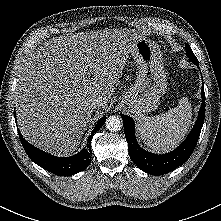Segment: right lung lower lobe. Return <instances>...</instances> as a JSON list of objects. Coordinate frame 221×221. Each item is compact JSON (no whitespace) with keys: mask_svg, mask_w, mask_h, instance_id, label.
I'll return each instance as SVG.
<instances>
[{"mask_svg":"<svg viewBox=\"0 0 221 221\" xmlns=\"http://www.w3.org/2000/svg\"><path fill=\"white\" fill-rule=\"evenodd\" d=\"M105 120L106 117H102L97 122L93 131L91 132V135L88 138L87 147L83 148L79 153L71 157H56L40 150L28 143L22 137L19 129L17 130L21 143L32 161L53 174L69 176L78 173L88 167L91 160V141L93 135L104 125Z\"/></svg>","mask_w":221,"mask_h":221,"instance_id":"98d812e1","label":"right lung lower lobe"}]
</instances>
